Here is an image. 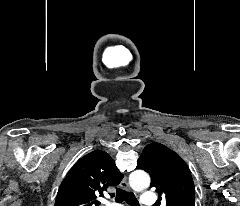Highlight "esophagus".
I'll list each match as a JSON object with an SVG mask.
<instances>
[{
	"mask_svg": "<svg viewBox=\"0 0 240 206\" xmlns=\"http://www.w3.org/2000/svg\"><path fill=\"white\" fill-rule=\"evenodd\" d=\"M120 186H121L124 190H126V191H131V188H130V186H129V184H128V181H127L126 178H124V179L121 181Z\"/></svg>",
	"mask_w": 240,
	"mask_h": 206,
	"instance_id": "34e87169",
	"label": "esophagus"
}]
</instances>
